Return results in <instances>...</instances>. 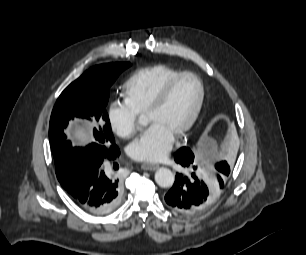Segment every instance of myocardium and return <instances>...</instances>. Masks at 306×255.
<instances>
[{
  "label": "myocardium",
  "mask_w": 306,
  "mask_h": 255,
  "mask_svg": "<svg viewBox=\"0 0 306 255\" xmlns=\"http://www.w3.org/2000/svg\"><path fill=\"white\" fill-rule=\"evenodd\" d=\"M184 77H193L198 82L200 88V95L193 113L191 114L190 118L186 121V123L175 133L176 137L184 135L187 131H189L193 127V125L196 123L197 119L199 118V115L203 108V104L205 101V87L202 79L196 73L191 71H182L179 74L172 77L159 91V93L155 96V98L153 99V101L146 110L147 115L158 110L164 104V102L170 95L171 91L173 90L177 82Z\"/></svg>",
  "instance_id": "f54148a6"
}]
</instances>
